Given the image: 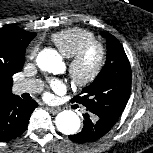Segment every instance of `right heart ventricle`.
I'll return each instance as SVG.
<instances>
[{
    "instance_id": "right-heart-ventricle-1",
    "label": "right heart ventricle",
    "mask_w": 153,
    "mask_h": 153,
    "mask_svg": "<svg viewBox=\"0 0 153 153\" xmlns=\"http://www.w3.org/2000/svg\"><path fill=\"white\" fill-rule=\"evenodd\" d=\"M95 35L90 30L72 27L52 34L51 41L61 54L70 58L84 43L94 40Z\"/></svg>"
}]
</instances>
